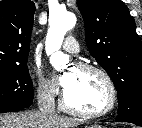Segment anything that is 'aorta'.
Instances as JSON below:
<instances>
[{
	"label": "aorta",
	"mask_w": 142,
	"mask_h": 128,
	"mask_svg": "<svg viewBox=\"0 0 142 128\" xmlns=\"http://www.w3.org/2000/svg\"><path fill=\"white\" fill-rule=\"evenodd\" d=\"M76 16L66 10L49 15V29L45 41V50L50 55V63L56 70L66 67L69 59L59 51L67 31L76 24Z\"/></svg>",
	"instance_id": "obj_1"
}]
</instances>
